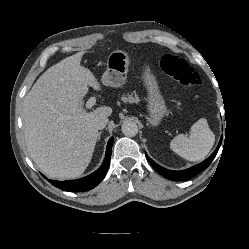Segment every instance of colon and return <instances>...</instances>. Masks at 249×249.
Here are the masks:
<instances>
[{"label": "colon", "mask_w": 249, "mask_h": 249, "mask_svg": "<svg viewBox=\"0 0 249 249\" xmlns=\"http://www.w3.org/2000/svg\"><path fill=\"white\" fill-rule=\"evenodd\" d=\"M162 71L183 86L194 87L201 83L200 75L181 57L164 55L160 60Z\"/></svg>", "instance_id": "5ec220e1"}]
</instances>
